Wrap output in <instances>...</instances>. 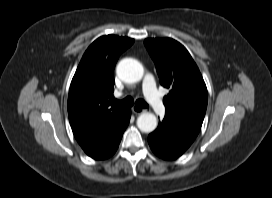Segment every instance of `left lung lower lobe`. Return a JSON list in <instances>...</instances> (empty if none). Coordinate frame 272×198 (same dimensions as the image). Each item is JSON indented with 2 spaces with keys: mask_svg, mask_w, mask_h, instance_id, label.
Returning <instances> with one entry per match:
<instances>
[{
  "mask_svg": "<svg viewBox=\"0 0 272 198\" xmlns=\"http://www.w3.org/2000/svg\"><path fill=\"white\" fill-rule=\"evenodd\" d=\"M200 129L199 124L165 114L158 128L148 136V142L158 157L173 160L190 147Z\"/></svg>",
  "mask_w": 272,
  "mask_h": 198,
  "instance_id": "left-lung-lower-lobe-1",
  "label": "left lung lower lobe"
}]
</instances>
